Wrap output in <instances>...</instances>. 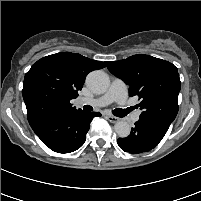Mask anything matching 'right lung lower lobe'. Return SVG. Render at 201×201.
<instances>
[{
    "mask_svg": "<svg viewBox=\"0 0 201 201\" xmlns=\"http://www.w3.org/2000/svg\"><path fill=\"white\" fill-rule=\"evenodd\" d=\"M96 116L101 114L82 110L72 114L39 112L28 116V121L47 147L58 153H70L84 144L90 123Z\"/></svg>",
    "mask_w": 201,
    "mask_h": 201,
    "instance_id": "98d812e1",
    "label": "right lung lower lobe"
}]
</instances>
